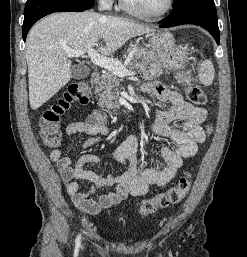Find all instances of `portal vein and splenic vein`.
<instances>
[{"instance_id": "portal-vein-and-splenic-vein-1", "label": "portal vein and splenic vein", "mask_w": 247, "mask_h": 257, "mask_svg": "<svg viewBox=\"0 0 247 257\" xmlns=\"http://www.w3.org/2000/svg\"><path fill=\"white\" fill-rule=\"evenodd\" d=\"M85 53L89 55L91 61L95 65L111 71L120 78L133 77L135 75L134 72L127 70V68L119 61L100 55L92 48L80 50L66 49V54L68 57H79Z\"/></svg>"}]
</instances>
